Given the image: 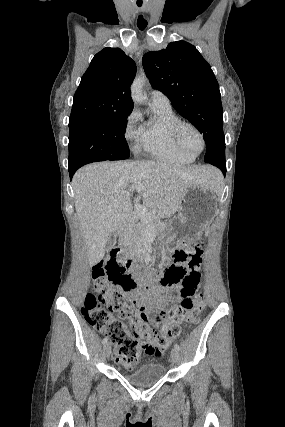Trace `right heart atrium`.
Wrapping results in <instances>:
<instances>
[{"mask_svg": "<svg viewBox=\"0 0 285 427\" xmlns=\"http://www.w3.org/2000/svg\"><path fill=\"white\" fill-rule=\"evenodd\" d=\"M139 120V114L136 111H132L127 118V124L124 136L128 141L138 139L139 137V128L136 127V124Z\"/></svg>", "mask_w": 285, "mask_h": 427, "instance_id": "1", "label": "right heart atrium"}]
</instances>
